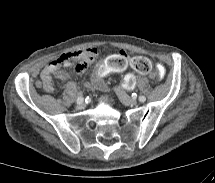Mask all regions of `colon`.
<instances>
[{"mask_svg":"<svg viewBox=\"0 0 215 183\" xmlns=\"http://www.w3.org/2000/svg\"><path fill=\"white\" fill-rule=\"evenodd\" d=\"M87 57L78 56L74 54H64L59 58V64L61 66H74L76 69L86 65ZM152 77L154 81L158 83H164L168 81L170 77V72L166 64L162 61H159L155 64L154 70L152 72ZM129 83H133V79H129Z\"/></svg>","mask_w":215,"mask_h":183,"instance_id":"5ec220e1","label":"colon"}]
</instances>
